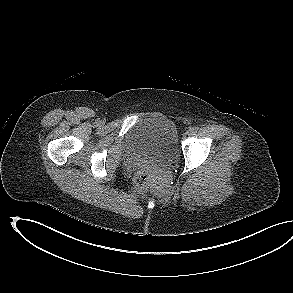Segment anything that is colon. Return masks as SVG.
Wrapping results in <instances>:
<instances>
[{"label":"colon","instance_id":"1","mask_svg":"<svg viewBox=\"0 0 293 293\" xmlns=\"http://www.w3.org/2000/svg\"><path fill=\"white\" fill-rule=\"evenodd\" d=\"M152 182V175L148 170H139L134 175V186L138 191L147 189Z\"/></svg>","mask_w":293,"mask_h":293}]
</instances>
